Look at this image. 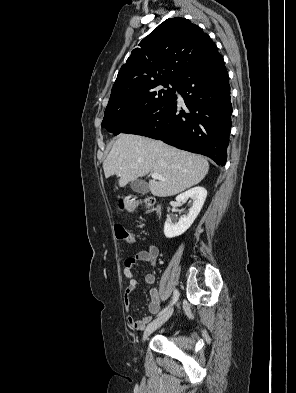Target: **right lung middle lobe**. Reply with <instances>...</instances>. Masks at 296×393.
Masks as SVG:
<instances>
[{
  "label": "right lung middle lobe",
  "instance_id": "1",
  "mask_svg": "<svg viewBox=\"0 0 296 393\" xmlns=\"http://www.w3.org/2000/svg\"><path fill=\"white\" fill-rule=\"evenodd\" d=\"M175 86V82H161L130 99L109 102L101 125L114 135L121 133L170 100Z\"/></svg>",
  "mask_w": 296,
  "mask_h": 393
}]
</instances>
